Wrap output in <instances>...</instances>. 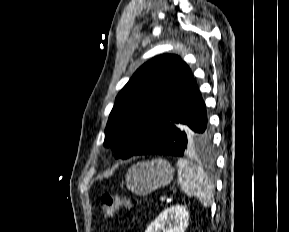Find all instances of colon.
I'll return each instance as SVG.
<instances>
[{"instance_id": "1", "label": "colon", "mask_w": 289, "mask_h": 232, "mask_svg": "<svg viewBox=\"0 0 289 232\" xmlns=\"http://www.w3.org/2000/svg\"><path fill=\"white\" fill-rule=\"evenodd\" d=\"M100 201L103 213L107 219H113L116 216L118 209L130 207V203L127 199L112 196L107 193L102 194Z\"/></svg>"}]
</instances>
